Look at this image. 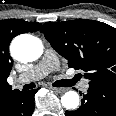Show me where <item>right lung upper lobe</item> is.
<instances>
[{
  "instance_id": "obj_1",
  "label": "right lung upper lobe",
  "mask_w": 116,
  "mask_h": 116,
  "mask_svg": "<svg viewBox=\"0 0 116 116\" xmlns=\"http://www.w3.org/2000/svg\"><path fill=\"white\" fill-rule=\"evenodd\" d=\"M40 27V23L26 22L19 19L0 21V105L6 96L16 90H12L7 83V78L13 66V60L9 54L11 40L19 34L38 31Z\"/></svg>"
}]
</instances>
